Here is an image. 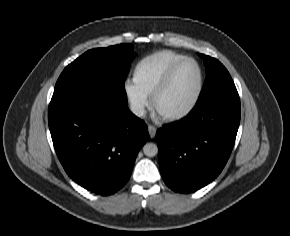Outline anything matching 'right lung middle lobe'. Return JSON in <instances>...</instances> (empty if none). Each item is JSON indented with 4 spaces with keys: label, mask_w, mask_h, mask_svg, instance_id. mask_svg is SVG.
Wrapping results in <instances>:
<instances>
[{
    "label": "right lung middle lobe",
    "mask_w": 290,
    "mask_h": 236,
    "mask_svg": "<svg viewBox=\"0 0 290 236\" xmlns=\"http://www.w3.org/2000/svg\"><path fill=\"white\" fill-rule=\"evenodd\" d=\"M135 57L131 44L92 49L61 73L51 101L74 99L86 102L127 100L124 82Z\"/></svg>",
    "instance_id": "right-lung-middle-lobe-1"
}]
</instances>
